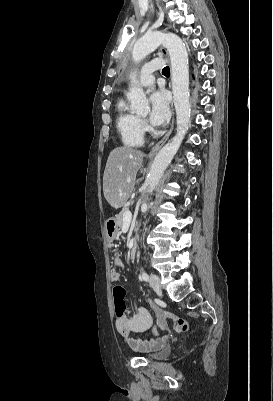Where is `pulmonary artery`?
<instances>
[{
	"label": "pulmonary artery",
	"mask_w": 273,
	"mask_h": 401,
	"mask_svg": "<svg viewBox=\"0 0 273 401\" xmlns=\"http://www.w3.org/2000/svg\"><path fill=\"white\" fill-rule=\"evenodd\" d=\"M151 63L153 65H162L164 63V60L162 58H153L151 60ZM151 63H146L144 65V70L141 71V74L144 75L143 77L144 81L140 83V86L142 88H145L147 86V83H153L155 81V76L152 74L154 66Z\"/></svg>",
	"instance_id": "1"
}]
</instances>
